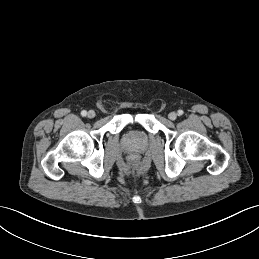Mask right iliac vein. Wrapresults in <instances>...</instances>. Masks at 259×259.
Instances as JSON below:
<instances>
[{
    "label": "right iliac vein",
    "instance_id": "right-iliac-vein-1",
    "mask_svg": "<svg viewBox=\"0 0 259 259\" xmlns=\"http://www.w3.org/2000/svg\"><path fill=\"white\" fill-rule=\"evenodd\" d=\"M95 112L93 111V110H90L89 112H88V114H87V116H88V118H94L95 117Z\"/></svg>",
    "mask_w": 259,
    "mask_h": 259
}]
</instances>
